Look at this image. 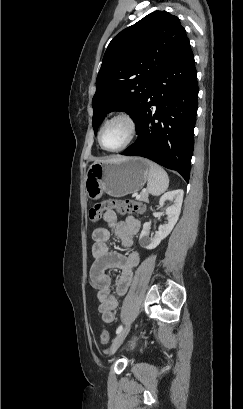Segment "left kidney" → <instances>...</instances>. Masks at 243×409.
Here are the masks:
<instances>
[{"label":"left kidney","instance_id":"1","mask_svg":"<svg viewBox=\"0 0 243 409\" xmlns=\"http://www.w3.org/2000/svg\"><path fill=\"white\" fill-rule=\"evenodd\" d=\"M183 194V190H173L165 193L160 198L159 207H162L167 200L173 202V204L166 209L168 222L167 224L160 225L159 230L155 233L154 236L151 235V237H149L151 224L149 222L144 223L139 238V243L142 247L148 250H152L156 248L161 243V241L170 234L181 212Z\"/></svg>","mask_w":243,"mask_h":409}]
</instances>
